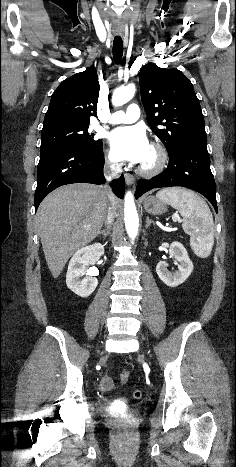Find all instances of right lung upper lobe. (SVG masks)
<instances>
[{"mask_svg":"<svg viewBox=\"0 0 236 467\" xmlns=\"http://www.w3.org/2000/svg\"><path fill=\"white\" fill-rule=\"evenodd\" d=\"M99 89L97 72L92 67L64 80L52 94L43 129L89 125L90 116H96Z\"/></svg>","mask_w":236,"mask_h":467,"instance_id":"cb5924a9","label":"right lung upper lobe"}]
</instances>
